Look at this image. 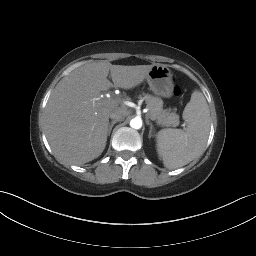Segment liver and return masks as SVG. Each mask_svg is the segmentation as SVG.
I'll use <instances>...</instances> for the list:
<instances>
[{
    "mask_svg": "<svg viewBox=\"0 0 256 256\" xmlns=\"http://www.w3.org/2000/svg\"><path fill=\"white\" fill-rule=\"evenodd\" d=\"M153 65H112L104 60L86 63L62 78L44 113L45 134L56 159L82 165L99 157L106 146L110 113L129 115L127 108H114L101 99V92L139 85ZM109 72L113 84L107 79Z\"/></svg>",
    "mask_w": 256,
    "mask_h": 256,
    "instance_id": "1",
    "label": "liver"
}]
</instances>
